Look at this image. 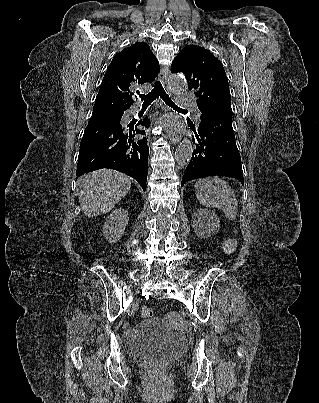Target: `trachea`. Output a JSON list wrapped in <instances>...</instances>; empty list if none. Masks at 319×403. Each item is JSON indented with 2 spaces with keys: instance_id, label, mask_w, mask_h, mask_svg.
I'll use <instances>...</instances> for the list:
<instances>
[{
  "instance_id": "1",
  "label": "trachea",
  "mask_w": 319,
  "mask_h": 403,
  "mask_svg": "<svg viewBox=\"0 0 319 403\" xmlns=\"http://www.w3.org/2000/svg\"><path fill=\"white\" fill-rule=\"evenodd\" d=\"M160 98L171 108L173 109H181L180 107H178L177 105H175V103L171 100V98L168 96V94H166L162 84L160 81H156L154 88L152 89V91L148 94H139V98L144 101L143 105H150L154 100H156L157 98ZM183 110V109H181Z\"/></svg>"
}]
</instances>
